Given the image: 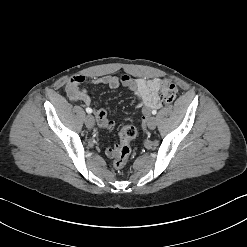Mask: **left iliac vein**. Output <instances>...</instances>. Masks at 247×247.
I'll return each instance as SVG.
<instances>
[{
  "instance_id": "1",
  "label": "left iliac vein",
  "mask_w": 247,
  "mask_h": 247,
  "mask_svg": "<svg viewBox=\"0 0 247 247\" xmlns=\"http://www.w3.org/2000/svg\"><path fill=\"white\" fill-rule=\"evenodd\" d=\"M147 125L150 130H154L156 128V118L154 116H151L148 120Z\"/></svg>"
}]
</instances>
